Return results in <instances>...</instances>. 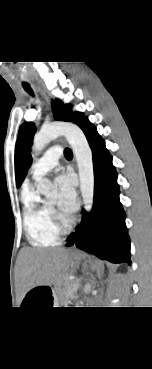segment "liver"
I'll return each instance as SVG.
<instances>
[{
  "label": "liver",
  "mask_w": 152,
  "mask_h": 369,
  "mask_svg": "<svg viewBox=\"0 0 152 369\" xmlns=\"http://www.w3.org/2000/svg\"><path fill=\"white\" fill-rule=\"evenodd\" d=\"M68 254L63 249L23 248L19 254V279L29 290L39 285H50L65 277Z\"/></svg>",
  "instance_id": "obj_1"
}]
</instances>
